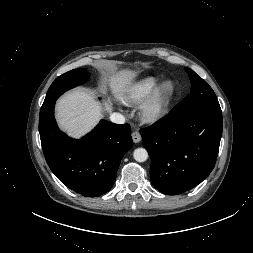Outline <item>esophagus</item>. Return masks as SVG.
<instances>
[{
    "label": "esophagus",
    "mask_w": 253,
    "mask_h": 253,
    "mask_svg": "<svg viewBox=\"0 0 253 253\" xmlns=\"http://www.w3.org/2000/svg\"><path fill=\"white\" fill-rule=\"evenodd\" d=\"M132 140L134 143H138L141 141V135L138 131L132 132Z\"/></svg>",
    "instance_id": "1"
}]
</instances>
